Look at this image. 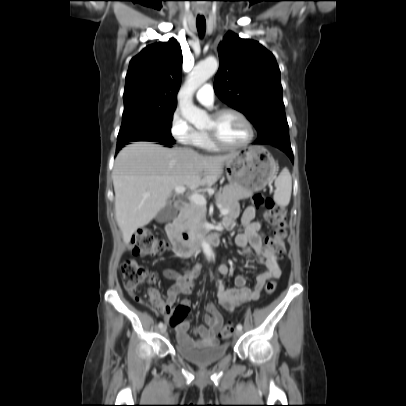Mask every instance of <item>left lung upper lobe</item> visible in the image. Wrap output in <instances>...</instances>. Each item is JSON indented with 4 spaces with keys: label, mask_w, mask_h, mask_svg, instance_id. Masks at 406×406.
Here are the masks:
<instances>
[{
    "label": "left lung upper lobe",
    "mask_w": 406,
    "mask_h": 406,
    "mask_svg": "<svg viewBox=\"0 0 406 406\" xmlns=\"http://www.w3.org/2000/svg\"><path fill=\"white\" fill-rule=\"evenodd\" d=\"M218 54L220 68L214 80L217 96L246 115L257 130V140L290 143L274 55L258 42L241 39L231 31L220 43Z\"/></svg>",
    "instance_id": "left-lung-upper-lobe-1"
}]
</instances>
